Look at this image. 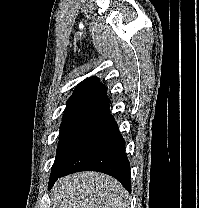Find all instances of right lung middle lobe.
<instances>
[{
    "label": "right lung middle lobe",
    "mask_w": 199,
    "mask_h": 208,
    "mask_svg": "<svg viewBox=\"0 0 199 208\" xmlns=\"http://www.w3.org/2000/svg\"><path fill=\"white\" fill-rule=\"evenodd\" d=\"M100 109H84L66 112L60 126L59 144L51 176L59 173L74 155L84 134L99 114Z\"/></svg>",
    "instance_id": "1"
}]
</instances>
